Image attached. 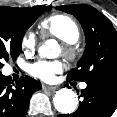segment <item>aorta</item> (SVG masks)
Masks as SVG:
<instances>
[{
  "label": "aorta",
  "instance_id": "aorta-1",
  "mask_svg": "<svg viewBox=\"0 0 117 117\" xmlns=\"http://www.w3.org/2000/svg\"><path fill=\"white\" fill-rule=\"evenodd\" d=\"M57 46L55 40H47L44 45L39 47V54L42 57L57 58L59 55ZM53 102L58 112L62 114H71L76 110L78 98L71 89L62 88L56 92Z\"/></svg>",
  "mask_w": 117,
  "mask_h": 117
}]
</instances>
